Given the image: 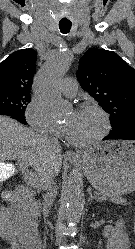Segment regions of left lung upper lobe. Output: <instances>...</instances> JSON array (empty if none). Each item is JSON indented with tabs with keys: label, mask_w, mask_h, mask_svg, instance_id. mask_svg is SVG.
Returning <instances> with one entry per match:
<instances>
[{
	"label": "left lung upper lobe",
	"mask_w": 135,
	"mask_h": 249,
	"mask_svg": "<svg viewBox=\"0 0 135 249\" xmlns=\"http://www.w3.org/2000/svg\"><path fill=\"white\" fill-rule=\"evenodd\" d=\"M81 86L110 114L112 130L135 117V69L113 51L90 48L79 61Z\"/></svg>",
	"instance_id": "5c2ea615"
}]
</instances>
